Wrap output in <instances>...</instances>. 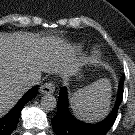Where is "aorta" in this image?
Returning <instances> with one entry per match:
<instances>
[{"label": "aorta", "mask_w": 135, "mask_h": 135, "mask_svg": "<svg viewBox=\"0 0 135 135\" xmlns=\"http://www.w3.org/2000/svg\"><path fill=\"white\" fill-rule=\"evenodd\" d=\"M56 106H57V100L53 95L45 94L41 98V107L44 110L52 111L56 108Z\"/></svg>", "instance_id": "obj_1"}]
</instances>
